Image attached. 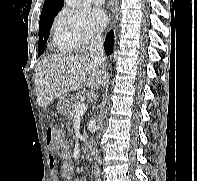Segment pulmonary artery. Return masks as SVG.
I'll use <instances>...</instances> for the list:
<instances>
[{"label":"pulmonary artery","instance_id":"e3ab8cb5","mask_svg":"<svg viewBox=\"0 0 197 181\" xmlns=\"http://www.w3.org/2000/svg\"><path fill=\"white\" fill-rule=\"evenodd\" d=\"M92 2L96 5H102L105 2V0H92Z\"/></svg>","mask_w":197,"mask_h":181}]
</instances>
